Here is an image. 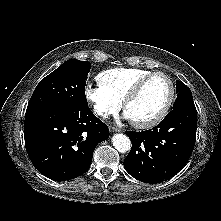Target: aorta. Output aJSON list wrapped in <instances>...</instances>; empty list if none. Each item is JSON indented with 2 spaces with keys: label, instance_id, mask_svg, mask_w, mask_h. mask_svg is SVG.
<instances>
[{
  "label": "aorta",
  "instance_id": "aorta-1",
  "mask_svg": "<svg viewBox=\"0 0 221 221\" xmlns=\"http://www.w3.org/2000/svg\"><path fill=\"white\" fill-rule=\"evenodd\" d=\"M112 144L114 148L121 153H126L131 149V141L124 134H114L112 137Z\"/></svg>",
  "mask_w": 221,
  "mask_h": 221
}]
</instances>
